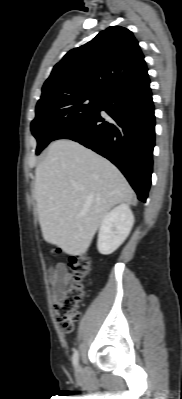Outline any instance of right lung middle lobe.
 <instances>
[{
  "label": "right lung middle lobe",
  "mask_w": 182,
  "mask_h": 399,
  "mask_svg": "<svg viewBox=\"0 0 182 399\" xmlns=\"http://www.w3.org/2000/svg\"><path fill=\"white\" fill-rule=\"evenodd\" d=\"M102 95L77 94L38 102L31 131L37 139L39 154L61 131L94 115L103 102Z\"/></svg>",
  "instance_id": "dd1d6c3e"
}]
</instances>
